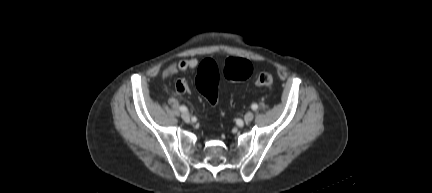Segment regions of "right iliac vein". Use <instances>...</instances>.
I'll use <instances>...</instances> for the list:
<instances>
[{"instance_id": "right-iliac-vein-1", "label": "right iliac vein", "mask_w": 432, "mask_h": 193, "mask_svg": "<svg viewBox=\"0 0 432 193\" xmlns=\"http://www.w3.org/2000/svg\"><path fill=\"white\" fill-rule=\"evenodd\" d=\"M181 117H182V119H183L185 122H189V121H190V115H189V113H187V112H183L182 115H181Z\"/></svg>"}]
</instances>
